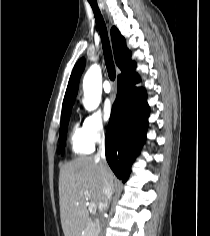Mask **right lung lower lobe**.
<instances>
[{"label": "right lung lower lobe", "instance_id": "98d812e1", "mask_svg": "<svg viewBox=\"0 0 210 236\" xmlns=\"http://www.w3.org/2000/svg\"><path fill=\"white\" fill-rule=\"evenodd\" d=\"M134 68L118 76V92L105 137L106 159L115 175L125 182L131 165L145 141L149 106L143 88L134 87L140 81Z\"/></svg>", "mask_w": 210, "mask_h": 236}]
</instances>
